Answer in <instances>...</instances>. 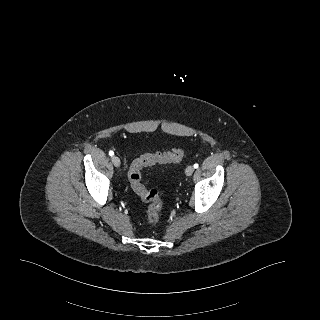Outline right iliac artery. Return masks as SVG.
<instances>
[{
  "label": "right iliac artery",
  "instance_id": "right-iliac-artery-1",
  "mask_svg": "<svg viewBox=\"0 0 320 320\" xmlns=\"http://www.w3.org/2000/svg\"><path fill=\"white\" fill-rule=\"evenodd\" d=\"M109 155H110V156H113V155H114V152H113V151H110V152H109Z\"/></svg>",
  "mask_w": 320,
  "mask_h": 320
}]
</instances>
